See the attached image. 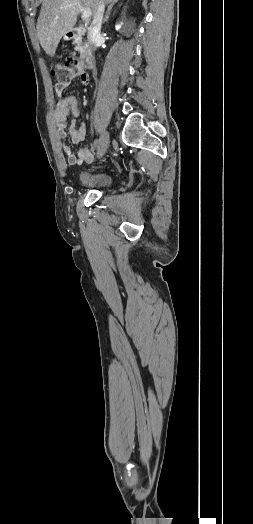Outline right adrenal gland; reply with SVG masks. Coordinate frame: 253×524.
Segmentation results:
<instances>
[{"mask_svg":"<svg viewBox=\"0 0 253 524\" xmlns=\"http://www.w3.org/2000/svg\"><path fill=\"white\" fill-rule=\"evenodd\" d=\"M118 1H119V0H115V1L112 2L111 5L108 7L107 13H106L105 18H104V20H103V23H106V22L108 21V19H109V15H110V12H111L113 6H114Z\"/></svg>","mask_w":253,"mask_h":524,"instance_id":"obj_1","label":"right adrenal gland"}]
</instances>
